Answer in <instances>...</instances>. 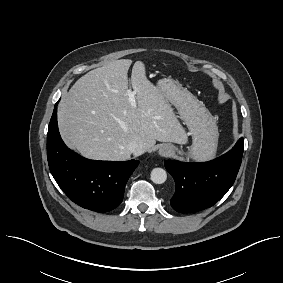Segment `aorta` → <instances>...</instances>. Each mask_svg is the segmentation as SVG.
<instances>
[{
  "instance_id": "obj_1",
  "label": "aorta",
  "mask_w": 283,
  "mask_h": 283,
  "mask_svg": "<svg viewBox=\"0 0 283 283\" xmlns=\"http://www.w3.org/2000/svg\"><path fill=\"white\" fill-rule=\"evenodd\" d=\"M167 179V173L162 168H154L151 171V180L156 184H162Z\"/></svg>"
}]
</instances>
